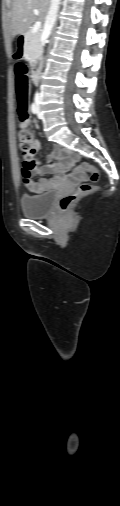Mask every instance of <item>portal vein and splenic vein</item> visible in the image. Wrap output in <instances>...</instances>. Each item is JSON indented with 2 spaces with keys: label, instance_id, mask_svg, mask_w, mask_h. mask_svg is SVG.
<instances>
[{
  "label": "portal vein and splenic vein",
  "instance_id": "18ae733b",
  "mask_svg": "<svg viewBox=\"0 0 120 506\" xmlns=\"http://www.w3.org/2000/svg\"><path fill=\"white\" fill-rule=\"evenodd\" d=\"M33 12H34L35 15L39 14V10L38 9H34ZM40 29H41V22L38 21V22H36L34 24V26L32 28V33H37Z\"/></svg>",
  "mask_w": 120,
  "mask_h": 506
}]
</instances>
